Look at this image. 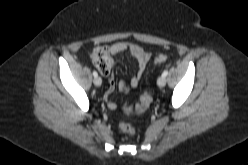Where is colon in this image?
<instances>
[{
  "label": "colon",
  "instance_id": "colon-1",
  "mask_svg": "<svg viewBox=\"0 0 248 165\" xmlns=\"http://www.w3.org/2000/svg\"><path fill=\"white\" fill-rule=\"evenodd\" d=\"M166 59L167 56L165 54H159L155 58V63L162 64L166 61ZM92 61L94 66L100 72H104L108 70L112 66V57L109 48L107 46H101L94 49L92 52ZM151 101H152L151 93L148 91H144L140 96L139 102L136 105L134 106L127 105L125 108L127 111H133V112L144 111L150 106ZM119 127L126 134L133 135L135 133V128L130 123L121 122L119 124Z\"/></svg>",
  "mask_w": 248,
  "mask_h": 165
}]
</instances>
